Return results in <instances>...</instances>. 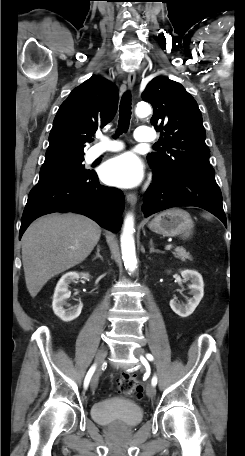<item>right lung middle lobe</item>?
Segmentation results:
<instances>
[{"instance_id": "right-lung-middle-lobe-1", "label": "right lung middle lobe", "mask_w": 245, "mask_h": 456, "mask_svg": "<svg viewBox=\"0 0 245 456\" xmlns=\"http://www.w3.org/2000/svg\"><path fill=\"white\" fill-rule=\"evenodd\" d=\"M83 158L59 165L41 168L38 183L54 182L64 179L87 176L92 171L86 170Z\"/></svg>"}]
</instances>
